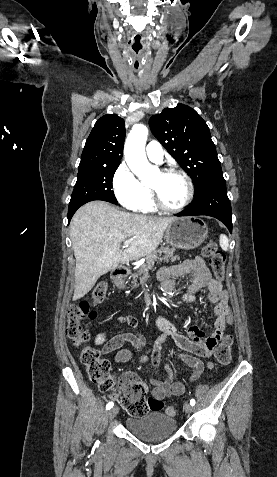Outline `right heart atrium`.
I'll use <instances>...</instances> for the list:
<instances>
[{
	"instance_id": "right-heart-atrium-1",
	"label": "right heart atrium",
	"mask_w": 277,
	"mask_h": 477,
	"mask_svg": "<svg viewBox=\"0 0 277 477\" xmlns=\"http://www.w3.org/2000/svg\"><path fill=\"white\" fill-rule=\"evenodd\" d=\"M112 184L117 200L127 209H138L146 197L143 184L126 163H121L117 167Z\"/></svg>"
}]
</instances>
